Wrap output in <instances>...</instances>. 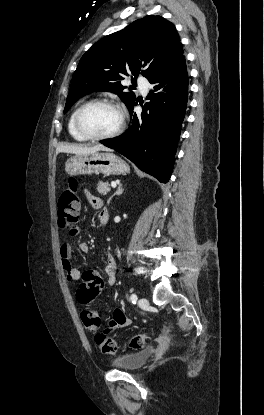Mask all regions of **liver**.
<instances>
[{
    "mask_svg": "<svg viewBox=\"0 0 264 415\" xmlns=\"http://www.w3.org/2000/svg\"><path fill=\"white\" fill-rule=\"evenodd\" d=\"M98 151H110L109 148L103 145H95L92 147L82 146V145H61L56 149V153H71L75 155H86L90 153H95Z\"/></svg>",
    "mask_w": 264,
    "mask_h": 415,
    "instance_id": "liver-1",
    "label": "liver"
}]
</instances>
